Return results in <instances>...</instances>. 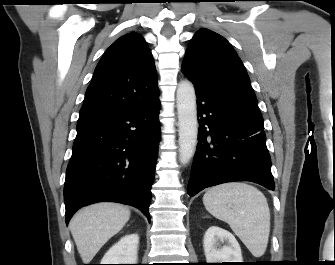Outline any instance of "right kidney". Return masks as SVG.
I'll list each match as a JSON object with an SVG mask.
<instances>
[{
    "instance_id": "obj_1",
    "label": "right kidney",
    "mask_w": 335,
    "mask_h": 265,
    "mask_svg": "<svg viewBox=\"0 0 335 265\" xmlns=\"http://www.w3.org/2000/svg\"><path fill=\"white\" fill-rule=\"evenodd\" d=\"M138 244V234L123 236L105 253L101 264H137Z\"/></svg>"
}]
</instances>
